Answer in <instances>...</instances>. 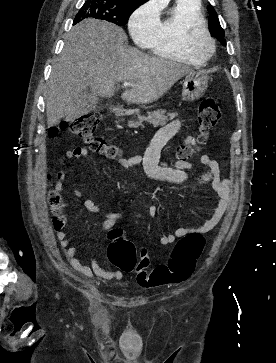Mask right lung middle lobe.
Segmentation results:
<instances>
[{"instance_id":"right-lung-middle-lobe-1","label":"right lung middle lobe","mask_w":276,"mask_h":363,"mask_svg":"<svg viewBox=\"0 0 276 363\" xmlns=\"http://www.w3.org/2000/svg\"><path fill=\"white\" fill-rule=\"evenodd\" d=\"M137 7L138 4L135 3L112 0H87L76 14L74 24L86 18H95L124 26L127 24L129 16Z\"/></svg>"}]
</instances>
